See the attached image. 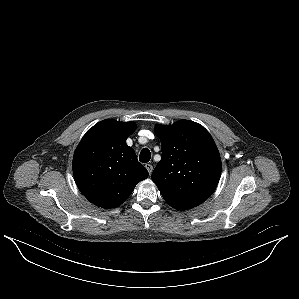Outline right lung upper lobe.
Instances as JSON below:
<instances>
[{
    "label": "right lung upper lobe",
    "mask_w": 299,
    "mask_h": 299,
    "mask_svg": "<svg viewBox=\"0 0 299 299\" xmlns=\"http://www.w3.org/2000/svg\"><path fill=\"white\" fill-rule=\"evenodd\" d=\"M135 127L133 122L103 120L86 132L74 152L75 182L98 207L119 206L149 175L133 148L126 144Z\"/></svg>",
    "instance_id": "cb5924a9"
}]
</instances>
